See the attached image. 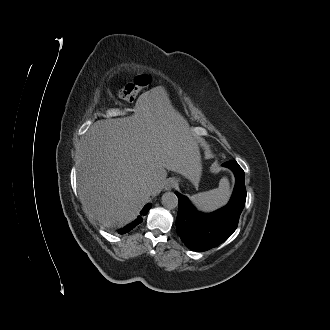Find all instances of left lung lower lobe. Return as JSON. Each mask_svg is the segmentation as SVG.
<instances>
[{
  "label": "left lung lower lobe",
  "mask_w": 330,
  "mask_h": 330,
  "mask_svg": "<svg viewBox=\"0 0 330 330\" xmlns=\"http://www.w3.org/2000/svg\"><path fill=\"white\" fill-rule=\"evenodd\" d=\"M234 172L236 184L228 204L212 213L199 212L186 196L175 192L179 200L177 233L194 251H206L228 239L236 230L246 200L244 171L234 160L223 164Z\"/></svg>",
  "instance_id": "1"
}]
</instances>
